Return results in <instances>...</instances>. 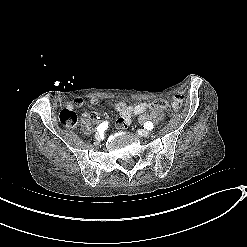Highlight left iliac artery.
<instances>
[{"mask_svg": "<svg viewBox=\"0 0 247 247\" xmlns=\"http://www.w3.org/2000/svg\"><path fill=\"white\" fill-rule=\"evenodd\" d=\"M154 127L153 123L151 121H147L144 123V128L147 130H152Z\"/></svg>", "mask_w": 247, "mask_h": 247, "instance_id": "1", "label": "left iliac artery"}]
</instances>
